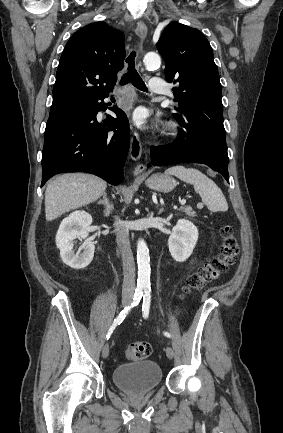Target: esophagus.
<instances>
[{
	"mask_svg": "<svg viewBox=\"0 0 283 433\" xmlns=\"http://www.w3.org/2000/svg\"><path fill=\"white\" fill-rule=\"evenodd\" d=\"M135 32H136L137 36L140 38L141 44H142L144 39L146 38V35L148 32V29H147V26L145 25V23L144 22H138ZM129 151H130L131 158L133 160H139V158L142 155L141 141H140L138 133L135 130L132 132ZM144 170H145V166L140 164L136 167L134 173L138 174V173L143 172Z\"/></svg>",
	"mask_w": 283,
	"mask_h": 433,
	"instance_id": "obj_1",
	"label": "esophagus"
}]
</instances>
